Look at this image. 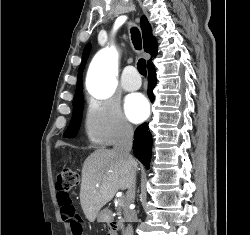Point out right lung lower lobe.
Masks as SVG:
<instances>
[{"label": "right lung lower lobe", "mask_w": 250, "mask_h": 235, "mask_svg": "<svg viewBox=\"0 0 250 235\" xmlns=\"http://www.w3.org/2000/svg\"><path fill=\"white\" fill-rule=\"evenodd\" d=\"M155 57V56H154ZM148 96L153 102L154 94L153 89L156 85V69L153 63L150 61L148 63ZM133 152L135 157L143 163L148 169L150 166L151 153H152V136L149 131L148 125L146 123L139 126L135 131V139L133 142Z\"/></svg>", "instance_id": "obj_1"}]
</instances>
